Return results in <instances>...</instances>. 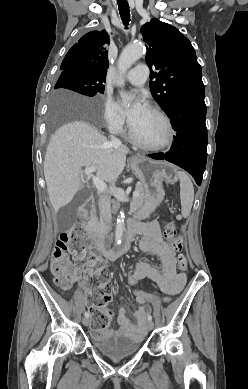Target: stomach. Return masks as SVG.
Here are the masks:
<instances>
[{
	"mask_svg": "<svg viewBox=\"0 0 248 389\" xmlns=\"http://www.w3.org/2000/svg\"><path fill=\"white\" fill-rule=\"evenodd\" d=\"M131 167L135 171L140 182L136 184L138 189L143 187V209L132 215L134 220H145L162 201L165 192L163 184H173L178 176L175 164L153 161L139 158L131 161Z\"/></svg>",
	"mask_w": 248,
	"mask_h": 389,
	"instance_id": "0dacf381",
	"label": "stomach"
}]
</instances>
